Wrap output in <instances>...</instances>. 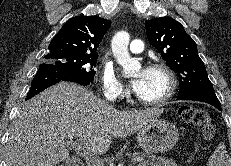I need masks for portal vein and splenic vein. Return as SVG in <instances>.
Segmentation results:
<instances>
[{
  "mask_svg": "<svg viewBox=\"0 0 231 166\" xmlns=\"http://www.w3.org/2000/svg\"><path fill=\"white\" fill-rule=\"evenodd\" d=\"M63 144L74 149L80 156H82L86 161H89L92 166H100L103 164V160L90 153L82 144L81 140L73 141V139L61 140ZM133 163L142 162L143 159L141 157L133 158Z\"/></svg>",
  "mask_w": 231,
  "mask_h": 166,
  "instance_id": "18ae733b",
  "label": "portal vein and splenic vein"
}]
</instances>
